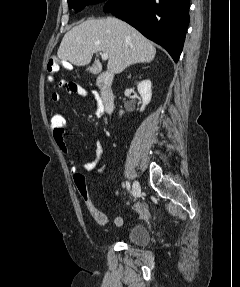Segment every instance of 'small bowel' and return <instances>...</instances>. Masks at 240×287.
I'll list each match as a JSON object with an SVG mask.
<instances>
[{
    "mask_svg": "<svg viewBox=\"0 0 240 287\" xmlns=\"http://www.w3.org/2000/svg\"><path fill=\"white\" fill-rule=\"evenodd\" d=\"M68 91L71 94H77V95H81L83 97L94 98L96 101V105H97V115H99V116L103 115V113H104L103 104H102V102L99 98V95L96 91H88V90H86L80 86H77L75 89L68 90ZM51 101L54 103L61 102L62 101L61 94L58 92L52 93L51 94ZM53 139H54V142L57 145V147L61 150V152L67 156V160L70 163L71 172L73 174L77 173L78 169H82L85 171H93L99 165L100 160H101V156H102V152H103L102 145L99 141H97L96 145H95L94 158L88 162L79 164L77 160L81 155L79 153H72L69 150V147H68V145L65 141V138H64V134H62V135L53 134ZM107 170H108V165L104 164L102 167H100L97 170V173L99 175H103L107 172ZM137 212L140 215V217H142V218H147V216H148V210L143 205L137 206Z\"/></svg>",
    "mask_w": 240,
    "mask_h": 287,
    "instance_id": "small-bowel-1",
    "label": "small bowel"
}]
</instances>
